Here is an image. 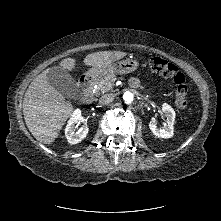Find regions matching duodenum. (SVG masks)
<instances>
[{"label": "duodenum", "instance_id": "1", "mask_svg": "<svg viewBox=\"0 0 221 221\" xmlns=\"http://www.w3.org/2000/svg\"><path fill=\"white\" fill-rule=\"evenodd\" d=\"M79 87L82 91V101L90 103L92 100V78L89 75H83L79 79Z\"/></svg>", "mask_w": 221, "mask_h": 221}]
</instances>
